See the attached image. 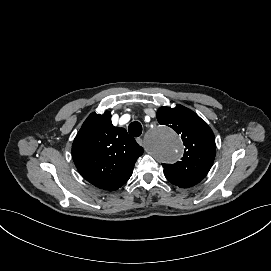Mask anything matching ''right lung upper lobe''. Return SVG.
I'll use <instances>...</instances> for the list:
<instances>
[{"mask_svg":"<svg viewBox=\"0 0 271 271\" xmlns=\"http://www.w3.org/2000/svg\"><path fill=\"white\" fill-rule=\"evenodd\" d=\"M142 154L143 148L124 128L112 125L108 111L90 114L72 145V157L81 175L94 186L110 191L129 180Z\"/></svg>","mask_w":271,"mask_h":271,"instance_id":"cb5924a9","label":"right lung upper lobe"}]
</instances>
